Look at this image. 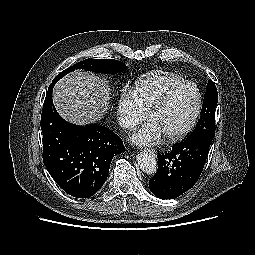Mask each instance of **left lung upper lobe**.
<instances>
[{
  "label": "left lung upper lobe",
  "mask_w": 255,
  "mask_h": 255,
  "mask_svg": "<svg viewBox=\"0 0 255 255\" xmlns=\"http://www.w3.org/2000/svg\"><path fill=\"white\" fill-rule=\"evenodd\" d=\"M217 89L212 80L207 83L200 119L192 133L202 130H215V107L217 105ZM191 133V134H192Z\"/></svg>",
  "instance_id": "obj_1"
}]
</instances>
